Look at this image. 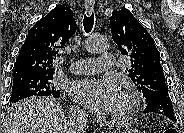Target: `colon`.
Listing matches in <instances>:
<instances>
[{"instance_id":"5ec220e1","label":"colon","mask_w":184,"mask_h":133,"mask_svg":"<svg viewBox=\"0 0 184 133\" xmlns=\"http://www.w3.org/2000/svg\"><path fill=\"white\" fill-rule=\"evenodd\" d=\"M165 133H175V130L172 128H169L165 131Z\"/></svg>"}]
</instances>
